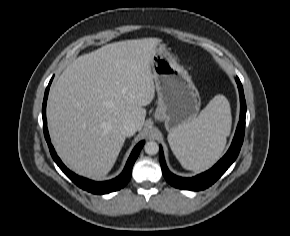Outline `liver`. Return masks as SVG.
I'll use <instances>...</instances> for the list:
<instances>
[{
  "instance_id": "obj_1",
  "label": "liver",
  "mask_w": 290,
  "mask_h": 236,
  "mask_svg": "<svg viewBox=\"0 0 290 236\" xmlns=\"http://www.w3.org/2000/svg\"><path fill=\"white\" fill-rule=\"evenodd\" d=\"M158 38L107 44L69 64L50 89L48 129L62 161L72 171L99 180L116 162L126 121L137 131L155 96L151 58Z\"/></svg>"
}]
</instances>
